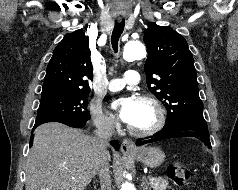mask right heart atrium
I'll return each mask as SVG.
<instances>
[{"label": "right heart atrium", "instance_id": "1", "mask_svg": "<svg viewBox=\"0 0 238 190\" xmlns=\"http://www.w3.org/2000/svg\"><path fill=\"white\" fill-rule=\"evenodd\" d=\"M90 115L94 125L101 130L111 131L116 126L115 119L110 114L105 113L96 104L91 106Z\"/></svg>", "mask_w": 238, "mask_h": 190}]
</instances>
